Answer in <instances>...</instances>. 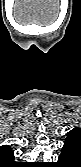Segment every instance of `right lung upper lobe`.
I'll list each match as a JSON object with an SVG mask.
<instances>
[{
	"label": "right lung upper lobe",
	"mask_w": 81,
	"mask_h": 167,
	"mask_svg": "<svg viewBox=\"0 0 81 167\" xmlns=\"http://www.w3.org/2000/svg\"><path fill=\"white\" fill-rule=\"evenodd\" d=\"M0 161L1 165L4 167H8L9 165L15 163L14 154L9 145H3L0 147Z\"/></svg>",
	"instance_id": "cb5924a9"
}]
</instances>
